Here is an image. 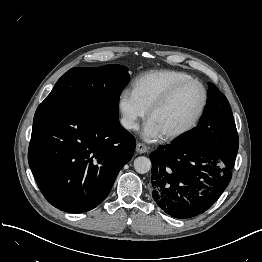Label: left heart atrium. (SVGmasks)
<instances>
[{"label":"left heart atrium","instance_id":"left-heart-atrium-1","mask_svg":"<svg viewBox=\"0 0 262 262\" xmlns=\"http://www.w3.org/2000/svg\"><path fill=\"white\" fill-rule=\"evenodd\" d=\"M163 134L159 130V128L155 125V123L151 120L145 125L142 131V137L144 140L148 142L156 141L161 138Z\"/></svg>","mask_w":262,"mask_h":262}]
</instances>
